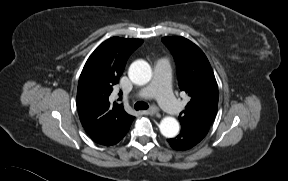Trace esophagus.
I'll return each instance as SVG.
<instances>
[{"label": "esophagus", "mask_w": 288, "mask_h": 181, "mask_svg": "<svg viewBox=\"0 0 288 181\" xmlns=\"http://www.w3.org/2000/svg\"><path fill=\"white\" fill-rule=\"evenodd\" d=\"M158 108L157 106H151L148 110H147V113L150 114V115H155L158 113Z\"/></svg>", "instance_id": "34e87169"}]
</instances>
